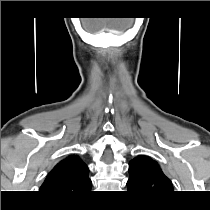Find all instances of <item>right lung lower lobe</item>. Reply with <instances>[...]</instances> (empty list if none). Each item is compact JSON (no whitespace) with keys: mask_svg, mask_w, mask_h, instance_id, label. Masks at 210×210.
Wrapping results in <instances>:
<instances>
[{"mask_svg":"<svg viewBox=\"0 0 210 210\" xmlns=\"http://www.w3.org/2000/svg\"><path fill=\"white\" fill-rule=\"evenodd\" d=\"M74 200H78V199H66V200H61V201H74Z\"/></svg>","mask_w":210,"mask_h":210,"instance_id":"1","label":"right lung lower lobe"}]
</instances>
